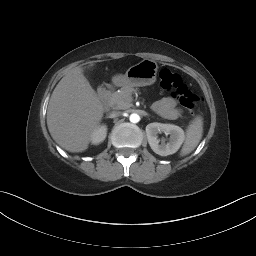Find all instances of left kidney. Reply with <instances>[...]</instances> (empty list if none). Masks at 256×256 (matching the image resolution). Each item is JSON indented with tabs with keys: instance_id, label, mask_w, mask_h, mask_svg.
<instances>
[{
	"instance_id": "5707ae66",
	"label": "left kidney",
	"mask_w": 256,
	"mask_h": 256,
	"mask_svg": "<svg viewBox=\"0 0 256 256\" xmlns=\"http://www.w3.org/2000/svg\"><path fill=\"white\" fill-rule=\"evenodd\" d=\"M161 132L170 135L169 142H160L158 134ZM146 135L151 149L161 156L176 153L185 140L183 129L173 124L150 123L146 126Z\"/></svg>"
}]
</instances>
